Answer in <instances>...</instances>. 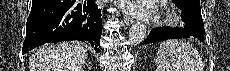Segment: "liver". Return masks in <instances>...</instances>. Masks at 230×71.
<instances>
[{
  "mask_svg": "<svg viewBox=\"0 0 230 71\" xmlns=\"http://www.w3.org/2000/svg\"><path fill=\"white\" fill-rule=\"evenodd\" d=\"M87 58L78 42L43 46L29 61L30 71H80Z\"/></svg>",
  "mask_w": 230,
  "mask_h": 71,
  "instance_id": "liver-1",
  "label": "liver"
}]
</instances>
